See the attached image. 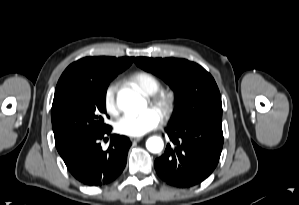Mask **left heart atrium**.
Instances as JSON below:
<instances>
[{
	"instance_id": "39dd6f15",
	"label": "left heart atrium",
	"mask_w": 299,
	"mask_h": 205,
	"mask_svg": "<svg viewBox=\"0 0 299 205\" xmlns=\"http://www.w3.org/2000/svg\"><path fill=\"white\" fill-rule=\"evenodd\" d=\"M160 121L161 118L158 112L148 108L135 115H124L117 121L115 129L118 133L126 136L141 137L155 129L160 124Z\"/></svg>"
}]
</instances>
